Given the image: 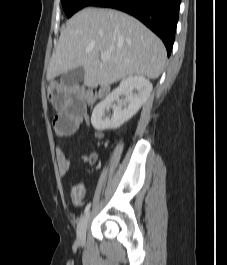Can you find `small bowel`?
<instances>
[{"label":"small bowel","mask_w":227,"mask_h":265,"mask_svg":"<svg viewBox=\"0 0 227 265\" xmlns=\"http://www.w3.org/2000/svg\"><path fill=\"white\" fill-rule=\"evenodd\" d=\"M58 113L54 117V131L59 137H68L77 132L80 125L85 123L90 125L87 113V105L83 91L79 87H57L56 96H52ZM104 136L101 130H95L94 138L102 139ZM98 159V154L94 151L84 154L82 160L88 164H94ZM57 162L61 177H65L70 169V161L63 151L57 153ZM85 186L82 183H75L71 187V200L75 206H81L85 197Z\"/></svg>","instance_id":"1"}]
</instances>
